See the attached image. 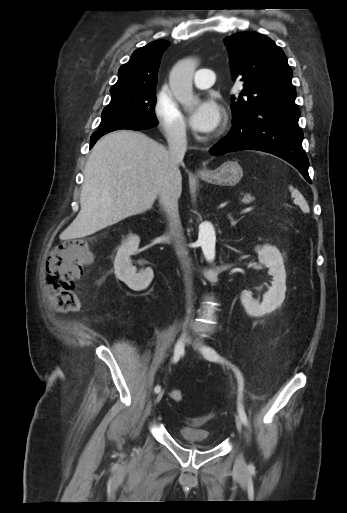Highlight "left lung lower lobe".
<instances>
[{
	"label": "left lung lower lobe",
	"mask_w": 347,
	"mask_h": 513,
	"mask_svg": "<svg viewBox=\"0 0 347 513\" xmlns=\"http://www.w3.org/2000/svg\"><path fill=\"white\" fill-rule=\"evenodd\" d=\"M297 105L270 104L233 118L230 133L210 149L214 156L239 150H258L276 155L297 168L311 183L308 158L302 148Z\"/></svg>",
	"instance_id": "0a47b994"
}]
</instances>
